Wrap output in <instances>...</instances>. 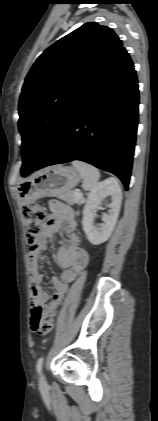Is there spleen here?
I'll return each instance as SVG.
<instances>
[{"mask_svg": "<svg viewBox=\"0 0 158 421\" xmlns=\"http://www.w3.org/2000/svg\"><path fill=\"white\" fill-rule=\"evenodd\" d=\"M72 165L83 178V189L92 191L97 186L98 181L100 179L99 170L94 166L79 160L73 161Z\"/></svg>", "mask_w": 158, "mask_h": 421, "instance_id": "spleen-1", "label": "spleen"}]
</instances>
